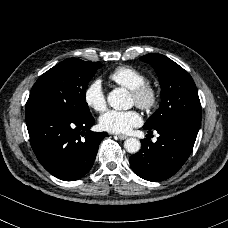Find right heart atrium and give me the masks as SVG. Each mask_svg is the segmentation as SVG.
<instances>
[{"label":"right heart atrium","instance_id":"d8ad5b80","mask_svg":"<svg viewBox=\"0 0 228 228\" xmlns=\"http://www.w3.org/2000/svg\"><path fill=\"white\" fill-rule=\"evenodd\" d=\"M84 102L91 109L102 112L107 107L106 91L101 79L91 80L83 92Z\"/></svg>","mask_w":228,"mask_h":228}]
</instances>
